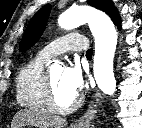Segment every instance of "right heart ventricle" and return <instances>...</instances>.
Instances as JSON below:
<instances>
[{
	"label": "right heart ventricle",
	"mask_w": 142,
	"mask_h": 128,
	"mask_svg": "<svg viewBox=\"0 0 142 128\" xmlns=\"http://www.w3.org/2000/svg\"><path fill=\"white\" fill-rule=\"evenodd\" d=\"M47 57L39 53L19 71L16 77L18 103L29 109H46L44 63Z\"/></svg>",
	"instance_id": "1"
}]
</instances>
